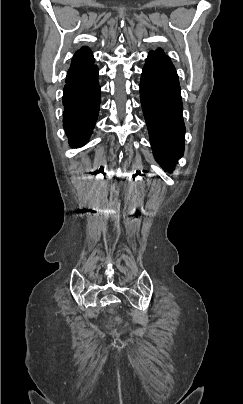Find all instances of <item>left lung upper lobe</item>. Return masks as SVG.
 <instances>
[{
	"mask_svg": "<svg viewBox=\"0 0 243 404\" xmlns=\"http://www.w3.org/2000/svg\"><path fill=\"white\" fill-rule=\"evenodd\" d=\"M156 53L162 54V55H166L163 50L161 48L157 49L156 51H154Z\"/></svg>",
	"mask_w": 243,
	"mask_h": 404,
	"instance_id": "obj_1",
	"label": "left lung upper lobe"
}]
</instances>
